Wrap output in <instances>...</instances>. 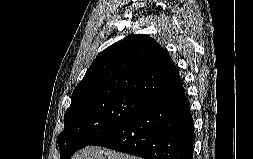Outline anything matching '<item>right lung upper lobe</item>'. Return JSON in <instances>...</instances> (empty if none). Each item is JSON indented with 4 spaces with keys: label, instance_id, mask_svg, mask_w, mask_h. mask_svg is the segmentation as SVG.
<instances>
[{
    "label": "right lung upper lobe",
    "instance_id": "right-lung-upper-lobe-1",
    "mask_svg": "<svg viewBox=\"0 0 253 159\" xmlns=\"http://www.w3.org/2000/svg\"><path fill=\"white\" fill-rule=\"evenodd\" d=\"M183 88L167 51L148 35H131L100 53L72 94V101L131 94L151 102Z\"/></svg>",
    "mask_w": 253,
    "mask_h": 159
}]
</instances>
